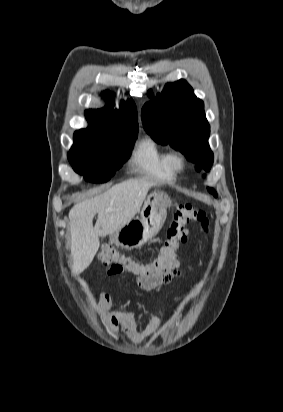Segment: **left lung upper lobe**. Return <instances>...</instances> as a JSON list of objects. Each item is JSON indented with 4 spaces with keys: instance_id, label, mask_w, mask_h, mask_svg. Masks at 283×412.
<instances>
[{
    "instance_id": "1",
    "label": "left lung upper lobe",
    "mask_w": 283,
    "mask_h": 412,
    "mask_svg": "<svg viewBox=\"0 0 283 412\" xmlns=\"http://www.w3.org/2000/svg\"><path fill=\"white\" fill-rule=\"evenodd\" d=\"M142 108V122L147 133L163 145L174 149L193 162L197 171L207 172L213 164V152L208 138L210 126L206 120L203 102L196 98L191 86L179 80L153 97ZM216 197V192L208 188Z\"/></svg>"
}]
</instances>
